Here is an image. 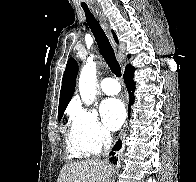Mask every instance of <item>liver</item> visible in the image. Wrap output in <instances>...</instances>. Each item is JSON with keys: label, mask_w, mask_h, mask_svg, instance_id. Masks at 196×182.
<instances>
[{"label": "liver", "mask_w": 196, "mask_h": 182, "mask_svg": "<svg viewBox=\"0 0 196 182\" xmlns=\"http://www.w3.org/2000/svg\"><path fill=\"white\" fill-rule=\"evenodd\" d=\"M112 172L108 162L89 159L64 165L57 182H110Z\"/></svg>", "instance_id": "liver-1"}]
</instances>
